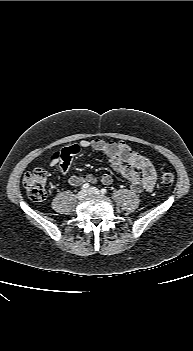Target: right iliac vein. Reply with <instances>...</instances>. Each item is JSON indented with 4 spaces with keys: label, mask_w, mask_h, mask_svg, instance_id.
Masks as SVG:
<instances>
[{
    "label": "right iliac vein",
    "mask_w": 193,
    "mask_h": 351,
    "mask_svg": "<svg viewBox=\"0 0 193 351\" xmlns=\"http://www.w3.org/2000/svg\"><path fill=\"white\" fill-rule=\"evenodd\" d=\"M87 196V191L86 190H81L77 194V198L79 200H83Z\"/></svg>",
    "instance_id": "right-iliac-vein-1"
}]
</instances>
